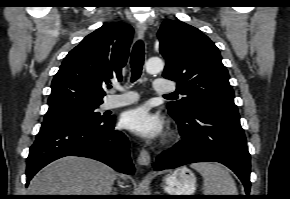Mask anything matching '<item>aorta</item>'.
Segmentation results:
<instances>
[{
    "label": "aorta",
    "instance_id": "1",
    "mask_svg": "<svg viewBox=\"0 0 290 199\" xmlns=\"http://www.w3.org/2000/svg\"><path fill=\"white\" fill-rule=\"evenodd\" d=\"M145 69L149 74H156L164 69V62L158 57H152L145 63Z\"/></svg>",
    "mask_w": 290,
    "mask_h": 199
}]
</instances>
